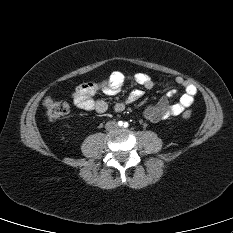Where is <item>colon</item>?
<instances>
[{
    "label": "colon",
    "mask_w": 233,
    "mask_h": 233,
    "mask_svg": "<svg viewBox=\"0 0 233 233\" xmlns=\"http://www.w3.org/2000/svg\"><path fill=\"white\" fill-rule=\"evenodd\" d=\"M43 106L48 119L51 121L58 120L69 112V105L67 102L52 97H47L43 102ZM191 116L192 112L190 110H186L182 114V117L185 119Z\"/></svg>",
    "instance_id": "colon-1"
}]
</instances>
